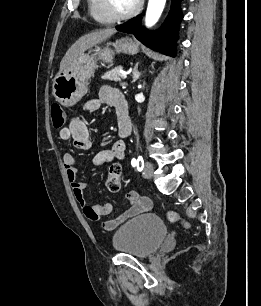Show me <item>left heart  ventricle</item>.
<instances>
[{
  "instance_id": "left-heart-ventricle-1",
  "label": "left heart ventricle",
  "mask_w": 261,
  "mask_h": 306,
  "mask_svg": "<svg viewBox=\"0 0 261 306\" xmlns=\"http://www.w3.org/2000/svg\"><path fill=\"white\" fill-rule=\"evenodd\" d=\"M115 11L118 13H126L132 10L138 0H111Z\"/></svg>"
}]
</instances>
